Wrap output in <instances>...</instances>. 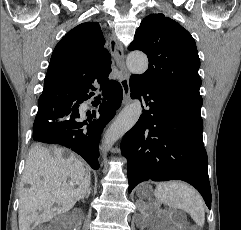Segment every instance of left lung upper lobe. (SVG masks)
<instances>
[{"instance_id":"left-lung-upper-lobe-1","label":"left lung upper lobe","mask_w":241,"mask_h":230,"mask_svg":"<svg viewBox=\"0 0 241 230\" xmlns=\"http://www.w3.org/2000/svg\"><path fill=\"white\" fill-rule=\"evenodd\" d=\"M128 49L141 50L149 59L148 70L133 76L141 84L202 105L196 44L179 23L163 14H150L142 20Z\"/></svg>"}]
</instances>
